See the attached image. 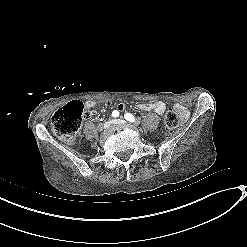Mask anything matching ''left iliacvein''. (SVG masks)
Masks as SVG:
<instances>
[{"mask_svg": "<svg viewBox=\"0 0 247 247\" xmlns=\"http://www.w3.org/2000/svg\"><path fill=\"white\" fill-rule=\"evenodd\" d=\"M114 123H115V124H124L125 121L122 120V119H115V120H114Z\"/></svg>", "mask_w": 247, "mask_h": 247, "instance_id": "obj_1", "label": "left iliac vein"}]
</instances>
